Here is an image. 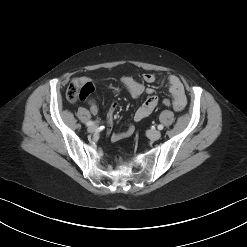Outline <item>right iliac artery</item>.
Here are the masks:
<instances>
[{
	"instance_id": "1",
	"label": "right iliac artery",
	"mask_w": 247,
	"mask_h": 247,
	"mask_svg": "<svg viewBox=\"0 0 247 247\" xmlns=\"http://www.w3.org/2000/svg\"><path fill=\"white\" fill-rule=\"evenodd\" d=\"M94 123H95V122H93V121H89V122L86 123V125H87V126H92Z\"/></svg>"
}]
</instances>
